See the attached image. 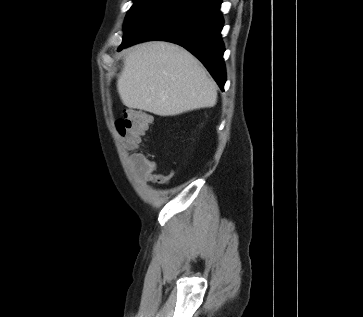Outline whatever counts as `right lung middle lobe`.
Wrapping results in <instances>:
<instances>
[{"label":"right lung middle lobe","instance_id":"right-lung-middle-lobe-1","mask_svg":"<svg viewBox=\"0 0 363 317\" xmlns=\"http://www.w3.org/2000/svg\"><path fill=\"white\" fill-rule=\"evenodd\" d=\"M125 19L123 42L134 38L138 32L152 19L176 5L181 0H133Z\"/></svg>","mask_w":363,"mask_h":317}]
</instances>
